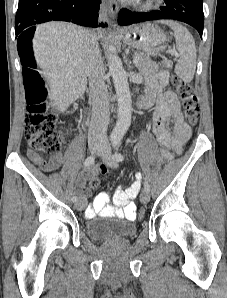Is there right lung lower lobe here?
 Instances as JSON below:
<instances>
[{"mask_svg":"<svg viewBox=\"0 0 227 298\" xmlns=\"http://www.w3.org/2000/svg\"><path fill=\"white\" fill-rule=\"evenodd\" d=\"M101 0H19L15 18L18 53L23 66L34 67L31 39L35 24L47 21H67L82 26L98 27ZM23 68V76L27 75Z\"/></svg>","mask_w":227,"mask_h":298,"instance_id":"right-lung-lower-lobe-1","label":"right lung lower lobe"}]
</instances>
